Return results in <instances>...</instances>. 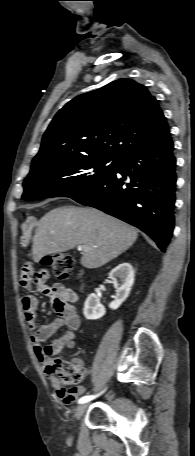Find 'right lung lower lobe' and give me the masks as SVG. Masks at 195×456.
Returning <instances> with one entry per match:
<instances>
[{
    "label": "right lung lower lobe",
    "instance_id": "1",
    "mask_svg": "<svg viewBox=\"0 0 195 456\" xmlns=\"http://www.w3.org/2000/svg\"><path fill=\"white\" fill-rule=\"evenodd\" d=\"M173 150L170 140L122 156L111 176L74 200L138 227L165 251L174 228Z\"/></svg>",
    "mask_w": 195,
    "mask_h": 456
}]
</instances>
